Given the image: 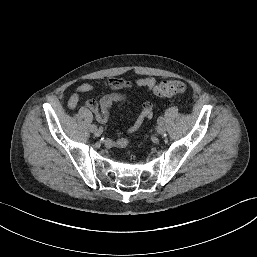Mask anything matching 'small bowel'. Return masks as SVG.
Listing matches in <instances>:
<instances>
[{
  "instance_id": "obj_1",
  "label": "small bowel",
  "mask_w": 257,
  "mask_h": 257,
  "mask_svg": "<svg viewBox=\"0 0 257 257\" xmlns=\"http://www.w3.org/2000/svg\"><path fill=\"white\" fill-rule=\"evenodd\" d=\"M107 83L109 87L114 91L111 94L103 96L99 101L88 100L85 105L88 109L93 111L96 115V119L99 123L105 124L108 122L111 112V107L114 103L122 104L127 99V94L122 91L125 89H130L133 84L125 79L118 78H108ZM157 85V81L153 77H146L138 79L135 82V86L138 88H145L147 90H153ZM95 89V86L92 83L85 82L80 84L76 91L70 96L68 100L69 108H75L80 100V97L84 93L91 92ZM153 116V106L149 102H144L142 104L141 112L134 122V124L128 129V133L136 132L142 124L150 120ZM107 144L109 146L115 147H125L128 144V139L120 135L117 139H108Z\"/></svg>"
}]
</instances>
